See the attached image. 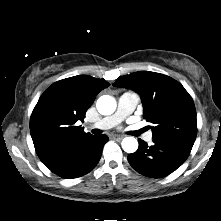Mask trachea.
<instances>
[{"label":"trachea","mask_w":221,"mask_h":221,"mask_svg":"<svg viewBox=\"0 0 221 221\" xmlns=\"http://www.w3.org/2000/svg\"><path fill=\"white\" fill-rule=\"evenodd\" d=\"M144 131H145V129H141V130H140V133H142V132H144ZM92 132H93V134H100L101 131L98 130V129H94Z\"/></svg>","instance_id":"3493384b"}]
</instances>
